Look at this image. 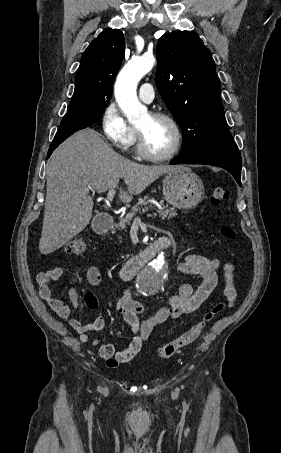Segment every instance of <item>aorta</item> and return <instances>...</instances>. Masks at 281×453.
Instances as JSON below:
<instances>
[{
	"label": "aorta",
	"mask_w": 281,
	"mask_h": 453,
	"mask_svg": "<svg viewBox=\"0 0 281 453\" xmlns=\"http://www.w3.org/2000/svg\"><path fill=\"white\" fill-rule=\"evenodd\" d=\"M155 64L153 55L132 58L120 71L115 83L116 101L132 124L138 123L147 116V108L137 98V85L144 75L150 72ZM165 264L161 253L136 278V289L142 296L155 294L164 284L166 275L162 274Z\"/></svg>",
	"instance_id": "obj_1"
}]
</instances>
